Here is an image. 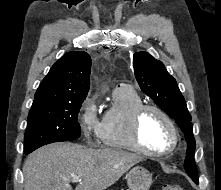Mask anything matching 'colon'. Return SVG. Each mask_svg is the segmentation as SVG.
Masks as SVG:
<instances>
[{"label":"colon","mask_w":221,"mask_h":190,"mask_svg":"<svg viewBox=\"0 0 221 190\" xmlns=\"http://www.w3.org/2000/svg\"><path fill=\"white\" fill-rule=\"evenodd\" d=\"M162 190H183V188L175 184H165Z\"/></svg>","instance_id":"1"}]
</instances>
